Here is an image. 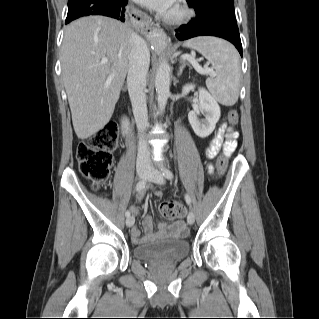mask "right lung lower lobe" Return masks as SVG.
<instances>
[{
    "label": "right lung lower lobe",
    "instance_id": "1",
    "mask_svg": "<svg viewBox=\"0 0 319 319\" xmlns=\"http://www.w3.org/2000/svg\"><path fill=\"white\" fill-rule=\"evenodd\" d=\"M127 2L128 0H116L112 3V5L89 11V13L85 16L104 15L124 21V6L127 4Z\"/></svg>",
    "mask_w": 319,
    "mask_h": 319
}]
</instances>
